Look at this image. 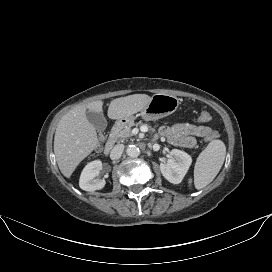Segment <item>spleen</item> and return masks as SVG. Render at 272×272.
<instances>
[{
  "label": "spleen",
  "mask_w": 272,
  "mask_h": 272,
  "mask_svg": "<svg viewBox=\"0 0 272 272\" xmlns=\"http://www.w3.org/2000/svg\"><path fill=\"white\" fill-rule=\"evenodd\" d=\"M225 155L226 147L221 140L211 141L200 153L194 167L196 189H202L213 181L224 163Z\"/></svg>",
  "instance_id": "obj_1"
}]
</instances>
